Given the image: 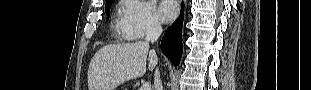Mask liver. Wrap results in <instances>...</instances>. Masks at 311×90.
Listing matches in <instances>:
<instances>
[{
	"label": "liver",
	"mask_w": 311,
	"mask_h": 90,
	"mask_svg": "<svg viewBox=\"0 0 311 90\" xmlns=\"http://www.w3.org/2000/svg\"><path fill=\"white\" fill-rule=\"evenodd\" d=\"M152 71L158 58L149 44L138 41L126 44H110L102 47L92 58L88 69L89 90H114L120 84L136 79Z\"/></svg>",
	"instance_id": "obj_1"
}]
</instances>
